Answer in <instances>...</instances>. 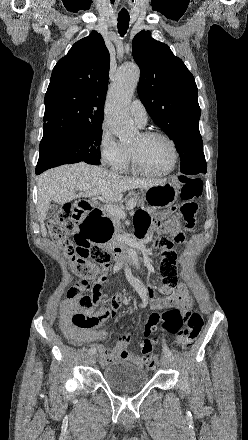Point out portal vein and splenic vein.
Segmentation results:
<instances>
[{
  "instance_id": "obj_1",
  "label": "portal vein and splenic vein",
  "mask_w": 248,
  "mask_h": 440,
  "mask_svg": "<svg viewBox=\"0 0 248 440\" xmlns=\"http://www.w3.org/2000/svg\"><path fill=\"white\" fill-rule=\"evenodd\" d=\"M88 189H89L88 186H84V187L82 188L83 191H86V190H88ZM134 207H135V201H134V200H131V201L129 202V204L127 205V209H128V210H132ZM103 209H104L106 212L110 213L112 216L118 217L119 219H125V217H126L125 212H124L121 208H119L118 206H116V205H113V204H105V205L103 206Z\"/></svg>"
}]
</instances>
